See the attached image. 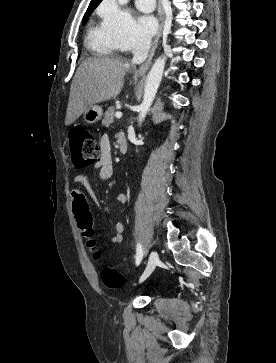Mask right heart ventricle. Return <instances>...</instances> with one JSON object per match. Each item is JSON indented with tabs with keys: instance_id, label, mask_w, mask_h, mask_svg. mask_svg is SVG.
<instances>
[{
	"instance_id": "e07e8e85",
	"label": "right heart ventricle",
	"mask_w": 276,
	"mask_h": 363,
	"mask_svg": "<svg viewBox=\"0 0 276 363\" xmlns=\"http://www.w3.org/2000/svg\"><path fill=\"white\" fill-rule=\"evenodd\" d=\"M88 48L97 55H111L119 47L117 43L107 34L102 25H91L87 35Z\"/></svg>"
}]
</instances>
